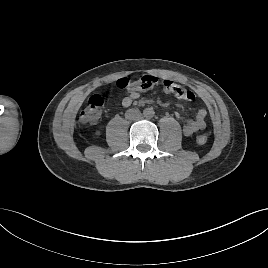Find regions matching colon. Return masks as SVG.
I'll return each instance as SVG.
<instances>
[{
	"label": "colon",
	"instance_id": "5ec220e1",
	"mask_svg": "<svg viewBox=\"0 0 268 268\" xmlns=\"http://www.w3.org/2000/svg\"><path fill=\"white\" fill-rule=\"evenodd\" d=\"M158 84V79L151 75H142L134 78H122L116 82V88L119 90H149ZM164 92L173 94L174 96L183 100H193L194 93L171 81L163 80L161 83ZM106 98L101 94H95L88 100L86 107L80 113V122L85 124H95L101 119L102 108L104 107ZM209 136L207 133H201L196 137L198 144L203 145L207 143Z\"/></svg>",
	"mask_w": 268,
	"mask_h": 268
}]
</instances>
